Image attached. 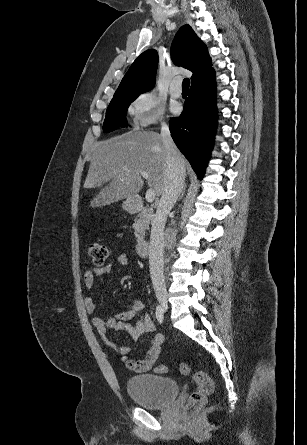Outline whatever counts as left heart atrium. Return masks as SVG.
Returning a JSON list of instances; mask_svg holds the SVG:
<instances>
[{
	"label": "left heart atrium",
	"mask_w": 307,
	"mask_h": 445,
	"mask_svg": "<svg viewBox=\"0 0 307 445\" xmlns=\"http://www.w3.org/2000/svg\"><path fill=\"white\" fill-rule=\"evenodd\" d=\"M174 111H175V112H177V111H178V109H177V108H175V109H174Z\"/></svg>",
	"instance_id": "obj_1"
}]
</instances>
